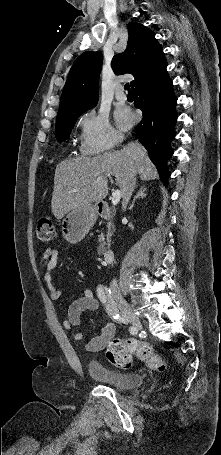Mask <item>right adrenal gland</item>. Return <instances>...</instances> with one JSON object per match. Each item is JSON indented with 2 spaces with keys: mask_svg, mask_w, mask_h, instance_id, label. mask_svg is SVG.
I'll use <instances>...</instances> for the list:
<instances>
[{
  "mask_svg": "<svg viewBox=\"0 0 221 455\" xmlns=\"http://www.w3.org/2000/svg\"><path fill=\"white\" fill-rule=\"evenodd\" d=\"M146 188L144 186H141L140 189L138 190V192L136 193V195L134 196L133 200H132V203L130 205V209H132L135 205V202H136V199L138 198H144L146 197Z\"/></svg>",
  "mask_w": 221,
  "mask_h": 455,
  "instance_id": "2a0ac1e0",
  "label": "right adrenal gland"
}]
</instances>
